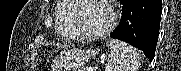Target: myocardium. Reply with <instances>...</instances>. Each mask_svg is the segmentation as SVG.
<instances>
[{
    "label": "myocardium",
    "mask_w": 181,
    "mask_h": 71,
    "mask_svg": "<svg viewBox=\"0 0 181 71\" xmlns=\"http://www.w3.org/2000/svg\"><path fill=\"white\" fill-rule=\"evenodd\" d=\"M65 1L72 3L74 6L73 12L70 17V25L73 29V34L76 39H79V40L101 39V38L109 35L117 25L118 15H117V12H116V9L114 8V6L111 4L110 1L99 0L108 9V11L110 13L109 24L103 30L96 32V33L82 32L79 30L78 25H77V20H78L77 18L79 16V13L82 8L81 0H65Z\"/></svg>",
    "instance_id": "obj_1"
}]
</instances>
